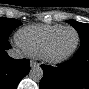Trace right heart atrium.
<instances>
[{"label":"right heart atrium","instance_id":"right-heart-atrium-1","mask_svg":"<svg viewBox=\"0 0 89 89\" xmlns=\"http://www.w3.org/2000/svg\"><path fill=\"white\" fill-rule=\"evenodd\" d=\"M14 44H15L18 48H21L19 42L17 41V38H16V40L14 41Z\"/></svg>","mask_w":89,"mask_h":89}]
</instances>
